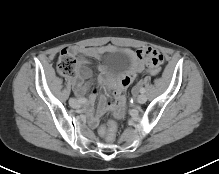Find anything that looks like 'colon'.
I'll return each instance as SVG.
<instances>
[{"label":"colon","instance_id":"obj_1","mask_svg":"<svg viewBox=\"0 0 219 174\" xmlns=\"http://www.w3.org/2000/svg\"><path fill=\"white\" fill-rule=\"evenodd\" d=\"M57 68L60 74L72 77L78 71V63L69 52L63 50L58 58ZM147 72L152 76H158L161 72V69L159 67H153L149 68ZM98 132L108 142L112 143L117 134V125L114 121H108L99 128Z\"/></svg>","mask_w":219,"mask_h":174}]
</instances>
